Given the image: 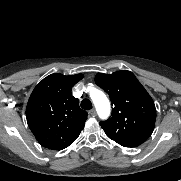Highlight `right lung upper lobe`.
<instances>
[{
    "instance_id": "cb5924a9",
    "label": "right lung upper lobe",
    "mask_w": 181,
    "mask_h": 181,
    "mask_svg": "<svg viewBox=\"0 0 181 181\" xmlns=\"http://www.w3.org/2000/svg\"><path fill=\"white\" fill-rule=\"evenodd\" d=\"M83 74L65 76L54 73L33 90L26 107L27 123L45 148L62 150L72 144L84 128L87 112L72 96V87Z\"/></svg>"
}]
</instances>
